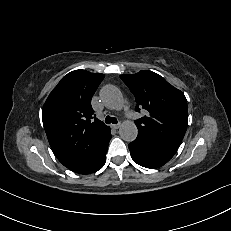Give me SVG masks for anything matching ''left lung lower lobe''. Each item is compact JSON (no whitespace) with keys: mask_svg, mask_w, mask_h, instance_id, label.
<instances>
[{"mask_svg":"<svg viewBox=\"0 0 231 231\" xmlns=\"http://www.w3.org/2000/svg\"><path fill=\"white\" fill-rule=\"evenodd\" d=\"M132 159L146 168H158L166 164L176 153L177 147L164 145L143 136L137 138L129 145Z\"/></svg>","mask_w":231,"mask_h":231,"instance_id":"left-lung-lower-lobe-1","label":"left lung lower lobe"}]
</instances>
